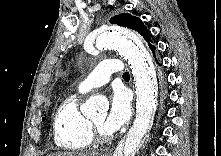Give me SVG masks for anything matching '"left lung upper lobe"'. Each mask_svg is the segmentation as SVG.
<instances>
[{
  "label": "left lung upper lobe",
  "mask_w": 221,
  "mask_h": 156,
  "mask_svg": "<svg viewBox=\"0 0 221 156\" xmlns=\"http://www.w3.org/2000/svg\"><path fill=\"white\" fill-rule=\"evenodd\" d=\"M110 22L133 29L138 32L148 43L152 53L155 54L156 47L153 45V41L151 40L152 35L140 18L135 17L129 13H123L112 17ZM154 58L155 60L157 59L155 56Z\"/></svg>",
  "instance_id": "5c2ea615"
}]
</instances>
